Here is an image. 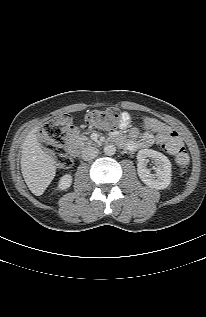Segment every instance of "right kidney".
Segmentation results:
<instances>
[{"label": "right kidney", "instance_id": "ca27d5eb", "mask_svg": "<svg viewBox=\"0 0 206 317\" xmlns=\"http://www.w3.org/2000/svg\"><path fill=\"white\" fill-rule=\"evenodd\" d=\"M72 176L70 174H65L60 178L59 189L66 190L71 186Z\"/></svg>", "mask_w": 206, "mask_h": 317}]
</instances>
